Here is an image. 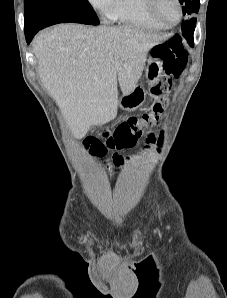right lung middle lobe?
Returning <instances> with one entry per match:
<instances>
[{
  "label": "right lung middle lobe",
  "instance_id": "dd1d6c3e",
  "mask_svg": "<svg viewBox=\"0 0 227 298\" xmlns=\"http://www.w3.org/2000/svg\"><path fill=\"white\" fill-rule=\"evenodd\" d=\"M24 20L25 33L65 22L100 23L87 0H24Z\"/></svg>",
  "mask_w": 227,
  "mask_h": 298
}]
</instances>
